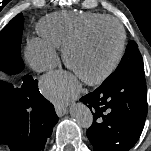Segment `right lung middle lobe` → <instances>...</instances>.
<instances>
[{"instance_id":"dd1d6c3e","label":"right lung middle lobe","mask_w":151,"mask_h":151,"mask_svg":"<svg viewBox=\"0 0 151 151\" xmlns=\"http://www.w3.org/2000/svg\"><path fill=\"white\" fill-rule=\"evenodd\" d=\"M23 22L20 13L0 32V70L10 75L20 73L24 67L20 53Z\"/></svg>"}]
</instances>
